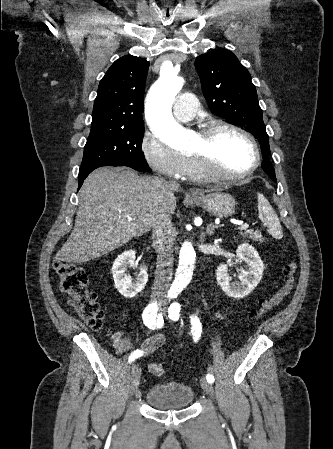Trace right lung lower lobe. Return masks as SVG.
Here are the masks:
<instances>
[{
  "instance_id": "1",
  "label": "right lung lower lobe",
  "mask_w": 333,
  "mask_h": 449,
  "mask_svg": "<svg viewBox=\"0 0 333 449\" xmlns=\"http://www.w3.org/2000/svg\"><path fill=\"white\" fill-rule=\"evenodd\" d=\"M116 166H123V165H116ZM101 167L99 165H95V166H83L80 168L79 171V179H78V185L79 188L81 187L84 179L89 175V173H91L94 169ZM133 169L139 170V171H144V172H150L151 169L149 167H131Z\"/></svg>"
}]
</instances>
